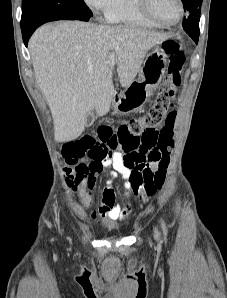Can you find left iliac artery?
Returning a JSON list of instances; mask_svg holds the SVG:
<instances>
[{
	"mask_svg": "<svg viewBox=\"0 0 227 298\" xmlns=\"http://www.w3.org/2000/svg\"><path fill=\"white\" fill-rule=\"evenodd\" d=\"M161 225H162V229L164 231V233L166 234L167 233V229H166V226H165V223L163 220H161Z\"/></svg>",
	"mask_w": 227,
	"mask_h": 298,
	"instance_id": "1",
	"label": "left iliac artery"
}]
</instances>
